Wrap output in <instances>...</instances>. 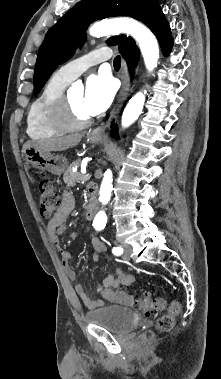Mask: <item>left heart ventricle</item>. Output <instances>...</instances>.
I'll use <instances>...</instances> for the list:
<instances>
[{
    "instance_id": "b2bd125f",
    "label": "left heart ventricle",
    "mask_w": 221,
    "mask_h": 379,
    "mask_svg": "<svg viewBox=\"0 0 221 379\" xmlns=\"http://www.w3.org/2000/svg\"><path fill=\"white\" fill-rule=\"evenodd\" d=\"M68 99L70 101V104L72 105L75 113L81 117V118H86L89 115L85 112L83 109V93L77 92V93H72L68 95Z\"/></svg>"
}]
</instances>
